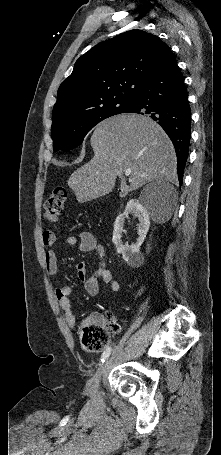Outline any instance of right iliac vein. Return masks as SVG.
Segmentation results:
<instances>
[{"instance_id":"1","label":"right iliac vein","mask_w":221,"mask_h":455,"mask_svg":"<svg viewBox=\"0 0 221 455\" xmlns=\"http://www.w3.org/2000/svg\"><path fill=\"white\" fill-rule=\"evenodd\" d=\"M109 364H110V359H107L99 367V369L97 370L95 375L88 381V383L86 385V390H87L88 394H92L97 391L101 378L104 375V373L106 372V370L108 369Z\"/></svg>"}]
</instances>
